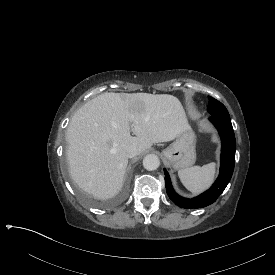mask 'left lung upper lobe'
I'll return each mask as SVG.
<instances>
[{
    "mask_svg": "<svg viewBox=\"0 0 275 275\" xmlns=\"http://www.w3.org/2000/svg\"><path fill=\"white\" fill-rule=\"evenodd\" d=\"M209 102H208V112L211 115L220 116L224 118H230L229 113L226 109V107L219 102L218 100L208 96Z\"/></svg>",
    "mask_w": 275,
    "mask_h": 275,
    "instance_id": "5c2ea615",
    "label": "left lung upper lobe"
}]
</instances>
